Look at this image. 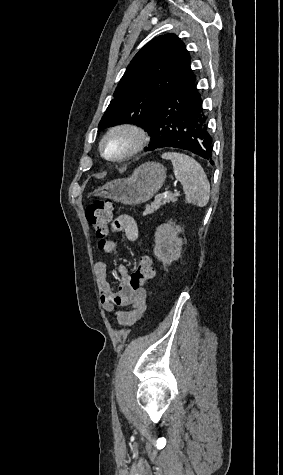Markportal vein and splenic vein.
<instances>
[{
  "label": "portal vein and splenic vein",
  "instance_id": "obj_1",
  "mask_svg": "<svg viewBox=\"0 0 283 475\" xmlns=\"http://www.w3.org/2000/svg\"><path fill=\"white\" fill-rule=\"evenodd\" d=\"M171 194L175 196V198H180L181 195L183 194L182 190L174 189L171 191Z\"/></svg>",
  "mask_w": 283,
  "mask_h": 475
}]
</instances>
